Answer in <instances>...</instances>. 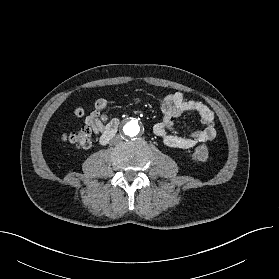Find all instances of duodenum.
<instances>
[{
    "label": "duodenum",
    "instance_id": "duodenum-1",
    "mask_svg": "<svg viewBox=\"0 0 279 279\" xmlns=\"http://www.w3.org/2000/svg\"><path fill=\"white\" fill-rule=\"evenodd\" d=\"M119 127V120L114 119L107 126L104 134L100 138L101 144H107L109 140L116 134Z\"/></svg>",
    "mask_w": 279,
    "mask_h": 279
}]
</instances>
